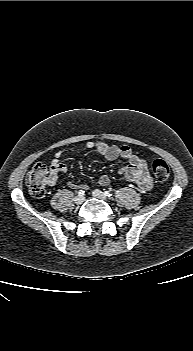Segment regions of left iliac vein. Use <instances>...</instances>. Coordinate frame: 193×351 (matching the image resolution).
<instances>
[{"label":"left iliac vein","mask_w":193,"mask_h":351,"mask_svg":"<svg viewBox=\"0 0 193 351\" xmlns=\"http://www.w3.org/2000/svg\"><path fill=\"white\" fill-rule=\"evenodd\" d=\"M92 195L96 198L102 199V200H107V196L105 195V193H103L101 190H94L92 192Z\"/></svg>","instance_id":"1"}]
</instances>
